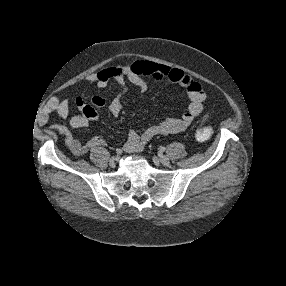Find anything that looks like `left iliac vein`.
Segmentation results:
<instances>
[{
  "mask_svg": "<svg viewBox=\"0 0 286 286\" xmlns=\"http://www.w3.org/2000/svg\"><path fill=\"white\" fill-rule=\"evenodd\" d=\"M158 160L163 165H169L170 164V159L166 156L161 155L158 157Z\"/></svg>",
  "mask_w": 286,
  "mask_h": 286,
  "instance_id": "4c4485c4",
  "label": "left iliac vein"
}]
</instances>
